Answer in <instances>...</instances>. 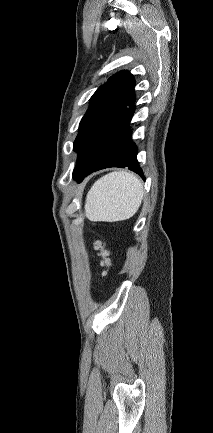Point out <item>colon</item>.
Instances as JSON below:
<instances>
[{
  "mask_svg": "<svg viewBox=\"0 0 213 433\" xmlns=\"http://www.w3.org/2000/svg\"><path fill=\"white\" fill-rule=\"evenodd\" d=\"M93 247L100 258V264L103 268V275H107L112 262L110 259V252L106 247V243L100 238H94Z\"/></svg>",
  "mask_w": 213,
  "mask_h": 433,
  "instance_id": "5ec220e1",
  "label": "colon"
}]
</instances>
